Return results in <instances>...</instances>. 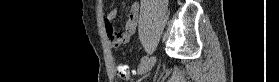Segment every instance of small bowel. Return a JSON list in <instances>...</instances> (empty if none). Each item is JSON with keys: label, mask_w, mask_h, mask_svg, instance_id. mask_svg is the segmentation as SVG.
<instances>
[{"label": "small bowel", "mask_w": 279, "mask_h": 82, "mask_svg": "<svg viewBox=\"0 0 279 82\" xmlns=\"http://www.w3.org/2000/svg\"><path fill=\"white\" fill-rule=\"evenodd\" d=\"M140 6L138 2H134L129 10L128 17L122 31H116L113 27V20L118 14L117 9H112L105 17V29L111 47L118 48L129 43L133 36L139 17Z\"/></svg>", "instance_id": "1"}]
</instances>
